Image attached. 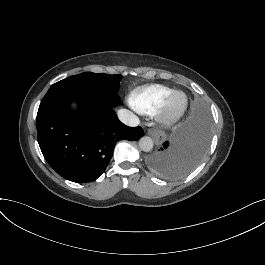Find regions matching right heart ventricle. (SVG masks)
Segmentation results:
<instances>
[{
  "instance_id": "e07e8e85",
  "label": "right heart ventricle",
  "mask_w": 265,
  "mask_h": 265,
  "mask_svg": "<svg viewBox=\"0 0 265 265\" xmlns=\"http://www.w3.org/2000/svg\"><path fill=\"white\" fill-rule=\"evenodd\" d=\"M173 93L174 91L168 88L155 86L137 94L133 99V104L138 112L153 115L162 109Z\"/></svg>"
}]
</instances>
